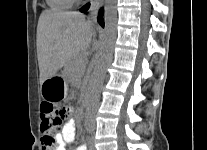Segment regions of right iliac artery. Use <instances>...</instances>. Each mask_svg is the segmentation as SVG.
I'll return each instance as SVG.
<instances>
[{"instance_id": "1", "label": "right iliac artery", "mask_w": 207, "mask_h": 150, "mask_svg": "<svg viewBox=\"0 0 207 150\" xmlns=\"http://www.w3.org/2000/svg\"><path fill=\"white\" fill-rule=\"evenodd\" d=\"M78 150H86V145H82L78 148Z\"/></svg>"}]
</instances>
